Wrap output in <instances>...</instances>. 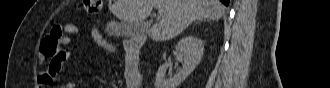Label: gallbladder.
Returning a JSON list of instances; mask_svg holds the SVG:
<instances>
[{"label":"gallbladder","instance_id":"bac80fb5","mask_svg":"<svg viewBox=\"0 0 330 88\" xmlns=\"http://www.w3.org/2000/svg\"><path fill=\"white\" fill-rule=\"evenodd\" d=\"M106 31L113 36L133 37L140 31V25L130 24L125 22H116L107 26Z\"/></svg>","mask_w":330,"mask_h":88}]
</instances>
